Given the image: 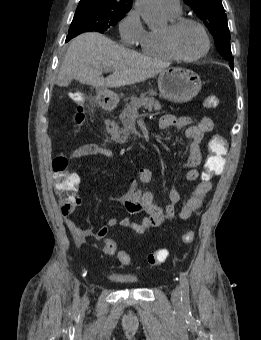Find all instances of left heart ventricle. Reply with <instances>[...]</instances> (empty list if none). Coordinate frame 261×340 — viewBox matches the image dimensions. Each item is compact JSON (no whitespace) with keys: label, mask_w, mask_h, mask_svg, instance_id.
<instances>
[{"label":"left heart ventricle","mask_w":261,"mask_h":340,"mask_svg":"<svg viewBox=\"0 0 261 340\" xmlns=\"http://www.w3.org/2000/svg\"><path fill=\"white\" fill-rule=\"evenodd\" d=\"M175 44L182 55L195 56L203 51L205 40L197 26L186 24L177 31Z\"/></svg>","instance_id":"left-heart-ventricle-1"}]
</instances>
